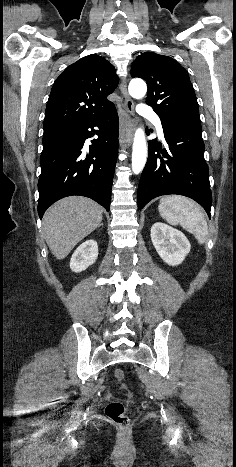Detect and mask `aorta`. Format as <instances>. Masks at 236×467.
<instances>
[{
  "instance_id": "1",
  "label": "aorta",
  "mask_w": 236,
  "mask_h": 467,
  "mask_svg": "<svg viewBox=\"0 0 236 467\" xmlns=\"http://www.w3.org/2000/svg\"><path fill=\"white\" fill-rule=\"evenodd\" d=\"M129 94L136 98H143L147 92V85L142 79H132L129 83ZM147 160V144L142 128L135 131L132 149V171L134 174L142 172Z\"/></svg>"
}]
</instances>
